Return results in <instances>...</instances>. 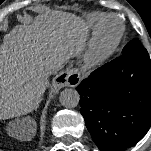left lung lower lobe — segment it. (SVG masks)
<instances>
[{"mask_svg": "<svg viewBox=\"0 0 151 151\" xmlns=\"http://www.w3.org/2000/svg\"><path fill=\"white\" fill-rule=\"evenodd\" d=\"M80 112L101 151L137 144L151 126V60L141 48L99 67L76 88Z\"/></svg>", "mask_w": 151, "mask_h": 151, "instance_id": "1", "label": "left lung lower lobe"}]
</instances>
